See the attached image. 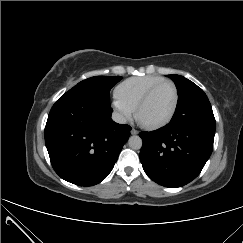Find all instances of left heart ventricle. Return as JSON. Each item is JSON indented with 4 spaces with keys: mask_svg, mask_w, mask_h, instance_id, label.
<instances>
[{
    "mask_svg": "<svg viewBox=\"0 0 243 243\" xmlns=\"http://www.w3.org/2000/svg\"><path fill=\"white\" fill-rule=\"evenodd\" d=\"M174 91L168 84L157 89L144 108L139 113V119L143 123H157L164 120L173 107Z\"/></svg>",
    "mask_w": 243,
    "mask_h": 243,
    "instance_id": "b2bd125f",
    "label": "left heart ventricle"
}]
</instances>
